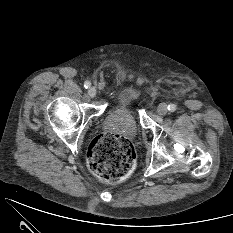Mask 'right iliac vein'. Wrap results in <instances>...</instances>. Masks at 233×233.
Listing matches in <instances>:
<instances>
[{"mask_svg":"<svg viewBox=\"0 0 233 233\" xmlns=\"http://www.w3.org/2000/svg\"><path fill=\"white\" fill-rule=\"evenodd\" d=\"M96 93H97V91H96V89L94 88V87H91V88H89V90H88V95L90 96V97H95L96 96Z\"/></svg>","mask_w":233,"mask_h":233,"instance_id":"63e3f726","label":"right iliac vein"}]
</instances>
